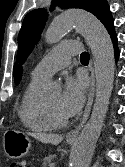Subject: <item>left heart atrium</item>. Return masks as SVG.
Wrapping results in <instances>:
<instances>
[{
  "label": "left heart atrium",
  "instance_id": "left-heart-atrium-1",
  "mask_svg": "<svg viewBox=\"0 0 125 167\" xmlns=\"http://www.w3.org/2000/svg\"><path fill=\"white\" fill-rule=\"evenodd\" d=\"M86 81L82 77L66 78L60 96V106L66 116H73L82 108L86 95Z\"/></svg>",
  "mask_w": 125,
  "mask_h": 167
}]
</instances>
